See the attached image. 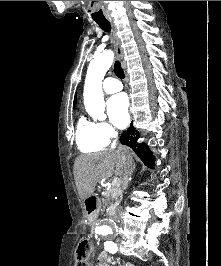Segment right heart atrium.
I'll use <instances>...</instances> for the list:
<instances>
[{"label": "right heart atrium", "mask_w": 221, "mask_h": 266, "mask_svg": "<svg viewBox=\"0 0 221 266\" xmlns=\"http://www.w3.org/2000/svg\"><path fill=\"white\" fill-rule=\"evenodd\" d=\"M101 134L108 140L113 138L116 134L115 129L107 122L98 123Z\"/></svg>", "instance_id": "right-heart-atrium-1"}]
</instances>
